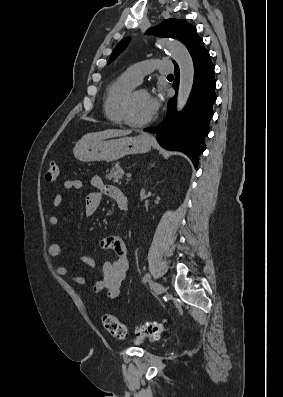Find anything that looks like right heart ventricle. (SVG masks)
Returning <instances> with one entry per match:
<instances>
[{
  "label": "right heart ventricle",
  "instance_id": "e07e8e85",
  "mask_svg": "<svg viewBox=\"0 0 283 397\" xmlns=\"http://www.w3.org/2000/svg\"><path fill=\"white\" fill-rule=\"evenodd\" d=\"M136 85L125 74H122L107 86L103 98V112L108 121L116 125L124 123L121 114L122 103Z\"/></svg>",
  "mask_w": 283,
  "mask_h": 397
}]
</instances>
